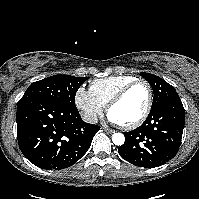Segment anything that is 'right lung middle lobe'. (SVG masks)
Wrapping results in <instances>:
<instances>
[{
    "label": "right lung middle lobe",
    "instance_id": "obj_1",
    "mask_svg": "<svg viewBox=\"0 0 199 199\" xmlns=\"http://www.w3.org/2000/svg\"><path fill=\"white\" fill-rule=\"evenodd\" d=\"M89 77L54 75L32 83L18 103L34 99L48 100L69 108H76L75 94Z\"/></svg>",
    "mask_w": 199,
    "mask_h": 199
}]
</instances>
